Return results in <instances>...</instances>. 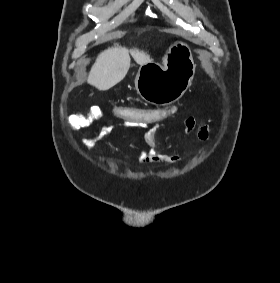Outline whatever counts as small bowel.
<instances>
[{"mask_svg": "<svg viewBox=\"0 0 280 283\" xmlns=\"http://www.w3.org/2000/svg\"><path fill=\"white\" fill-rule=\"evenodd\" d=\"M102 111L97 107H92L86 112L74 114L69 120V126L72 130H77L80 128H85L93 125L102 118ZM168 120V119H166ZM160 122H156L158 124ZM122 125L127 128H147L148 125H143L140 122H122ZM196 125V121L193 117H187L180 122V126L185 133L191 132ZM158 126L149 128L146 132L145 139L149 146L148 150H142L139 154V162L142 166L151 164H163V165H173L180 161L178 155L160 148L157 146L155 137ZM114 130V124L107 123L102 126L98 132L87 138L85 142L86 150H92L94 144L105 137L112 134ZM209 136V128L206 125H200L198 131V137L202 142H205Z\"/></svg>", "mask_w": 280, "mask_h": 283, "instance_id": "c3829d8e", "label": "small bowel"}]
</instances>
